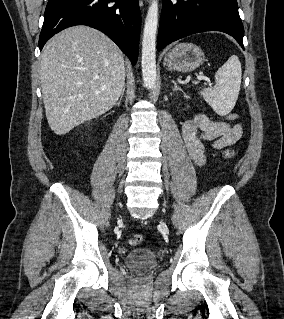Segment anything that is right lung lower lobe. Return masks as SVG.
Masks as SVG:
<instances>
[{
	"instance_id": "obj_1",
	"label": "right lung lower lobe",
	"mask_w": 284,
	"mask_h": 319,
	"mask_svg": "<svg viewBox=\"0 0 284 319\" xmlns=\"http://www.w3.org/2000/svg\"><path fill=\"white\" fill-rule=\"evenodd\" d=\"M74 25H87L111 38L135 65L141 15L138 0H48L39 48L54 34Z\"/></svg>"
}]
</instances>
